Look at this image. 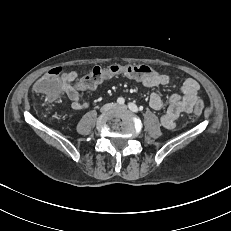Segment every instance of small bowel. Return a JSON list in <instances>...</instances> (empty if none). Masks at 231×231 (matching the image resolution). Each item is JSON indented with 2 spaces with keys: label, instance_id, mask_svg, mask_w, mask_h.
<instances>
[{
  "label": "small bowel",
  "instance_id": "small-bowel-1",
  "mask_svg": "<svg viewBox=\"0 0 231 231\" xmlns=\"http://www.w3.org/2000/svg\"><path fill=\"white\" fill-rule=\"evenodd\" d=\"M77 77L78 73L76 71H68L60 74L58 76L60 92L71 101V107L74 110H84L90 104L82 100L81 89L74 84ZM171 82V76L166 73L141 77L138 80L140 89L145 92L169 87ZM198 91V82L192 78H187L179 90L167 98H163L159 93H152L149 103L155 110H165V113L161 117V124L166 129H173L176 120L182 114L194 111V104L200 99Z\"/></svg>",
  "mask_w": 231,
  "mask_h": 231
}]
</instances>
